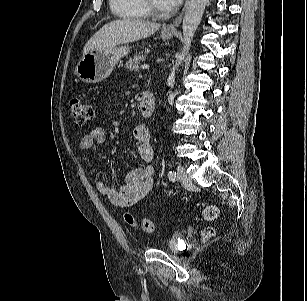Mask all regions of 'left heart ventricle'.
<instances>
[{
	"label": "left heart ventricle",
	"instance_id": "1",
	"mask_svg": "<svg viewBox=\"0 0 307 301\" xmlns=\"http://www.w3.org/2000/svg\"><path fill=\"white\" fill-rule=\"evenodd\" d=\"M151 4L158 10L164 11L165 8L158 2V0H150Z\"/></svg>",
	"mask_w": 307,
	"mask_h": 301
}]
</instances>
